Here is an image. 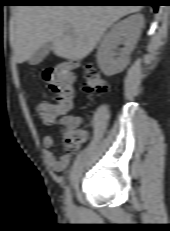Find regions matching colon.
I'll list each match as a JSON object with an SVG mask.
<instances>
[{"label": "colon", "mask_w": 170, "mask_h": 231, "mask_svg": "<svg viewBox=\"0 0 170 231\" xmlns=\"http://www.w3.org/2000/svg\"><path fill=\"white\" fill-rule=\"evenodd\" d=\"M79 67L77 62H61L47 68L44 77L49 84L54 96V102L39 100L36 110L45 124H51L57 118L66 113L72 106L74 98L75 69ZM83 90L87 93L104 94L108 91V84L92 64L83 67ZM86 131L79 125L67 127L64 130V140L68 149H75L86 139Z\"/></svg>", "instance_id": "colon-1"}]
</instances>
